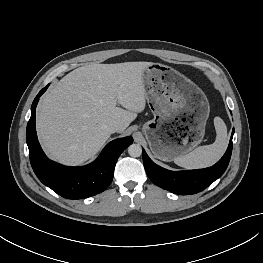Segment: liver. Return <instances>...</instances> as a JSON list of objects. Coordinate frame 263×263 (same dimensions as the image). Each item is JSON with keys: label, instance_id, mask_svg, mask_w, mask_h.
Returning <instances> with one entry per match:
<instances>
[{"label": "liver", "instance_id": "obj_1", "mask_svg": "<svg viewBox=\"0 0 263 263\" xmlns=\"http://www.w3.org/2000/svg\"><path fill=\"white\" fill-rule=\"evenodd\" d=\"M149 64H90L64 76L37 109V132L46 153L63 164L79 165L108 140L106 125L116 122L118 132H124L145 109L142 75Z\"/></svg>", "mask_w": 263, "mask_h": 263}]
</instances>
